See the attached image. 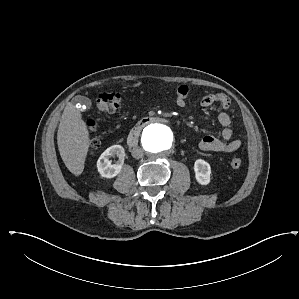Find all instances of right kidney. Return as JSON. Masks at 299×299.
I'll return each instance as SVG.
<instances>
[{"label": "right kidney", "mask_w": 299, "mask_h": 299, "mask_svg": "<svg viewBox=\"0 0 299 299\" xmlns=\"http://www.w3.org/2000/svg\"><path fill=\"white\" fill-rule=\"evenodd\" d=\"M118 156L119 160L115 164H111L110 158ZM125 151L121 145H113L107 148L97 161V169L102 177L113 178L117 176L124 164Z\"/></svg>", "instance_id": "ca27d5eb"}]
</instances>
